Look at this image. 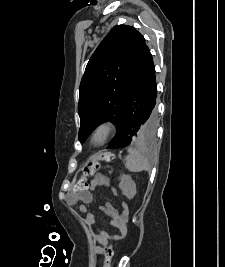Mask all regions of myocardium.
<instances>
[{
	"label": "myocardium",
	"instance_id": "myocardium-1",
	"mask_svg": "<svg viewBox=\"0 0 225 267\" xmlns=\"http://www.w3.org/2000/svg\"><path fill=\"white\" fill-rule=\"evenodd\" d=\"M118 123L111 118L102 119L97 122L90 133V144L95 147H100L109 142L118 131ZM99 131L104 132V137L100 142H95L94 138Z\"/></svg>",
	"mask_w": 225,
	"mask_h": 267
}]
</instances>
